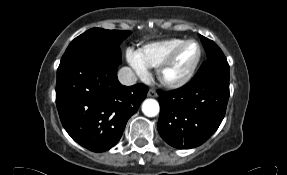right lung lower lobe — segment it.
Listing matches in <instances>:
<instances>
[{"instance_id":"right-lung-lower-lobe-1","label":"right lung lower lobe","mask_w":287,"mask_h":175,"mask_svg":"<svg viewBox=\"0 0 287 175\" xmlns=\"http://www.w3.org/2000/svg\"><path fill=\"white\" fill-rule=\"evenodd\" d=\"M119 61L104 55L80 57L59 65L56 105L61 123L73 140L93 152L113 147L130 116L146 98L143 84L123 86Z\"/></svg>"}]
</instances>
